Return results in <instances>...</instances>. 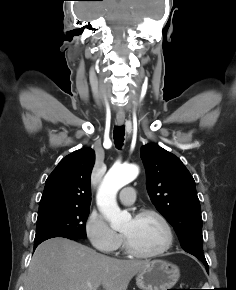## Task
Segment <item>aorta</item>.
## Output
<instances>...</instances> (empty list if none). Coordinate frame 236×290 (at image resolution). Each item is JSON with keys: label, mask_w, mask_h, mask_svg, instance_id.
I'll use <instances>...</instances> for the list:
<instances>
[{"label": "aorta", "mask_w": 236, "mask_h": 290, "mask_svg": "<svg viewBox=\"0 0 236 290\" xmlns=\"http://www.w3.org/2000/svg\"><path fill=\"white\" fill-rule=\"evenodd\" d=\"M136 165H114L105 175L97 192V205L114 230L122 229L131 215L122 211L116 201L118 191L132 182L138 175Z\"/></svg>", "instance_id": "aorta-1"}]
</instances>
